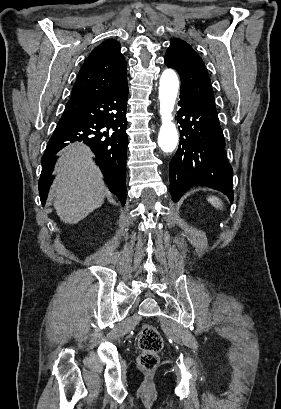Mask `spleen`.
Wrapping results in <instances>:
<instances>
[{
  "label": "spleen",
  "mask_w": 281,
  "mask_h": 409,
  "mask_svg": "<svg viewBox=\"0 0 281 409\" xmlns=\"http://www.w3.org/2000/svg\"><path fill=\"white\" fill-rule=\"evenodd\" d=\"M208 202H211L212 207H215V209H220L222 211L223 209V202L218 198V196H208L207 198Z\"/></svg>",
  "instance_id": "3e777b00"
}]
</instances>
